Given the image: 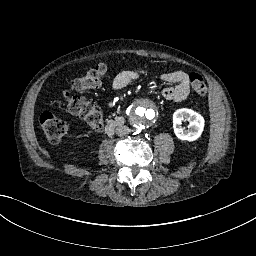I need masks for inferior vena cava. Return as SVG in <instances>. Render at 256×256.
<instances>
[{"mask_svg": "<svg viewBox=\"0 0 256 256\" xmlns=\"http://www.w3.org/2000/svg\"><path fill=\"white\" fill-rule=\"evenodd\" d=\"M130 133V128L126 125H119L116 128V134L118 136H126Z\"/></svg>", "mask_w": 256, "mask_h": 256, "instance_id": "inferior-vena-cava-1", "label": "inferior vena cava"}]
</instances>
